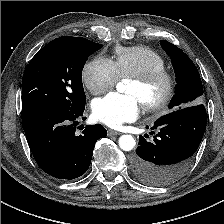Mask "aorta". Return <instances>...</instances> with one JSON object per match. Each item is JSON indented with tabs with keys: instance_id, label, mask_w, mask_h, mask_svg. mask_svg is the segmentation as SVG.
I'll return each instance as SVG.
<instances>
[{
	"instance_id": "1",
	"label": "aorta",
	"mask_w": 224,
	"mask_h": 224,
	"mask_svg": "<svg viewBox=\"0 0 224 224\" xmlns=\"http://www.w3.org/2000/svg\"><path fill=\"white\" fill-rule=\"evenodd\" d=\"M117 90L123 92V83L117 84ZM136 145L135 139L131 135H122L119 138V146L123 151H131Z\"/></svg>"
}]
</instances>
